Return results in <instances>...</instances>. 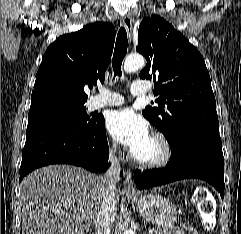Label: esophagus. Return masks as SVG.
I'll list each match as a JSON object with an SVG mask.
<instances>
[{"label": "esophagus", "instance_id": "esophagus-1", "mask_svg": "<svg viewBox=\"0 0 241 234\" xmlns=\"http://www.w3.org/2000/svg\"><path fill=\"white\" fill-rule=\"evenodd\" d=\"M132 16L131 14H127L125 17L120 19V25H122L127 32L129 40H131V32H132ZM124 194L128 196H136L137 191L133 183L132 175L130 171L126 172L125 180H124V187H123Z\"/></svg>", "mask_w": 241, "mask_h": 234}]
</instances>
